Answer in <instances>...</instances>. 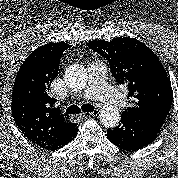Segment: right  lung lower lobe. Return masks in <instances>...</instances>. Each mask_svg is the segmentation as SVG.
<instances>
[{
    "label": "right lung lower lobe",
    "mask_w": 178,
    "mask_h": 178,
    "mask_svg": "<svg viewBox=\"0 0 178 178\" xmlns=\"http://www.w3.org/2000/svg\"><path fill=\"white\" fill-rule=\"evenodd\" d=\"M77 135V128L68 136H66L65 138H63L62 140H60L57 144H55L54 146H52L51 148L47 149V150H58L59 148H62L63 146H65L66 144H68L70 141H72Z\"/></svg>",
    "instance_id": "obj_1"
}]
</instances>
